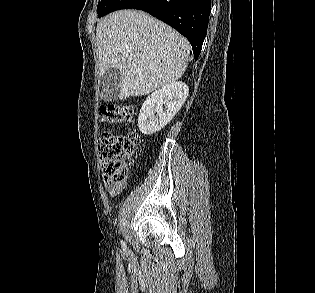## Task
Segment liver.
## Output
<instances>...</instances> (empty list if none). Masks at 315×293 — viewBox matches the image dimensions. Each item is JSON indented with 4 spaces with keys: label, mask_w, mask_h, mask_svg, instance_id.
Masks as SVG:
<instances>
[{
    "label": "liver",
    "mask_w": 315,
    "mask_h": 293,
    "mask_svg": "<svg viewBox=\"0 0 315 293\" xmlns=\"http://www.w3.org/2000/svg\"><path fill=\"white\" fill-rule=\"evenodd\" d=\"M96 40L100 76L109 67L120 71V100L174 83L187 67V39L142 11L110 14L97 24Z\"/></svg>",
    "instance_id": "obj_1"
}]
</instances>
